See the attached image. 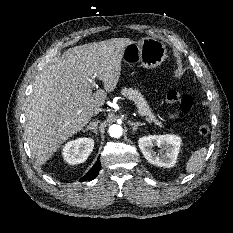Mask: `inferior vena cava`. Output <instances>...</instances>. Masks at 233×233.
<instances>
[{
	"label": "inferior vena cava",
	"instance_id": "obj_1",
	"mask_svg": "<svg viewBox=\"0 0 233 233\" xmlns=\"http://www.w3.org/2000/svg\"><path fill=\"white\" fill-rule=\"evenodd\" d=\"M103 111L102 108L98 107L94 109V114H98L99 112Z\"/></svg>",
	"mask_w": 233,
	"mask_h": 233
}]
</instances>
